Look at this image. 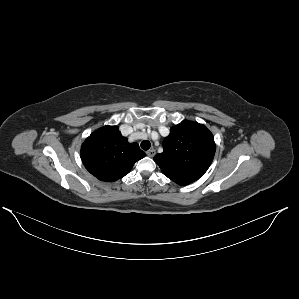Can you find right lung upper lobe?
Masks as SVG:
<instances>
[{
	"label": "right lung upper lobe",
	"mask_w": 299,
	"mask_h": 299,
	"mask_svg": "<svg viewBox=\"0 0 299 299\" xmlns=\"http://www.w3.org/2000/svg\"><path fill=\"white\" fill-rule=\"evenodd\" d=\"M145 157L137 143H129L117 126L93 132L81 146L86 169L97 179L113 182L129 173L134 163Z\"/></svg>",
	"instance_id": "right-lung-upper-lobe-1"
}]
</instances>
